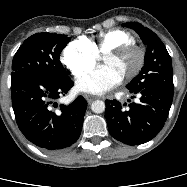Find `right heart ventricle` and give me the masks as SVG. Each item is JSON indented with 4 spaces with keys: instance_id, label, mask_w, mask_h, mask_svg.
Segmentation results:
<instances>
[{
    "instance_id": "obj_1",
    "label": "right heart ventricle",
    "mask_w": 187,
    "mask_h": 187,
    "mask_svg": "<svg viewBox=\"0 0 187 187\" xmlns=\"http://www.w3.org/2000/svg\"><path fill=\"white\" fill-rule=\"evenodd\" d=\"M94 52L98 55H104L107 51L125 44L135 43V38L127 31L113 29L99 33L92 39H87Z\"/></svg>"
}]
</instances>
